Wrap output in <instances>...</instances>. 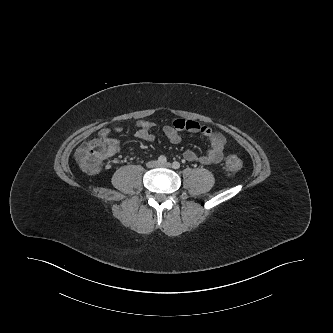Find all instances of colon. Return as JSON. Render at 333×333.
Segmentation results:
<instances>
[{"label":"colon","mask_w":333,"mask_h":333,"mask_svg":"<svg viewBox=\"0 0 333 333\" xmlns=\"http://www.w3.org/2000/svg\"><path fill=\"white\" fill-rule=\"evenodd\" d=\"M111 152L107 142L102 138H98L82 144L76 150L75 158L84 171L96 173ZM225 166L229 173H236L241 169L242 163L239 157L230 155L226 158Z\"/></svg>","instance_id":"obj_1"}]
</instances>
